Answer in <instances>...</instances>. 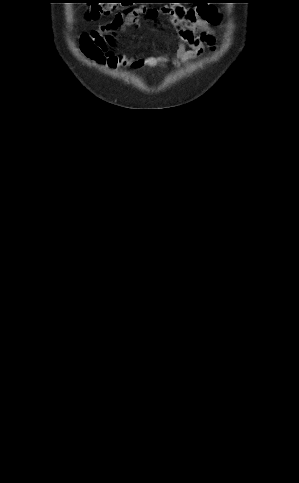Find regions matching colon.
<instances>
[{
  "label": "colon",
  "instance_id": "obj_1",
  "mask_svg": "<svg viewBox=\"0 0 299 483\" xmlns=\"http://www.w3.org/2000/svg\"><path fill=\"white\" fill-rule=\"evenodd\" d=\"M90 3L91 6L87 11V16L92 19L110 16L114 14L121 5H124L122 0H92ZM198 10L202 18H208L204 6L200 7Z\"/></svg>",
  "mask_w": 299,
  "mask_h": 483
}]
</instances>
